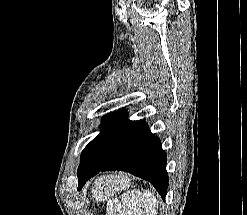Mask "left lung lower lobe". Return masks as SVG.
Segmentation results:
<instances>
[{
    "instance_id": "1",
    "label": "left lung lower lobe",
    "mask_w": 247,
    "mask_h": 215,
    "mask_svg": "<svg viewBox=\"0 0 247 215\" xmlns=\"http://www.w3.org/2000/svg\"><path fill=\"white\" fill-rule=\"evenodd\" d=\"M166 153L160 139L143 121H130L124 113L92 140L81 155L78 190L101 171L121 170L148 180L165 200L168 187Z\"/></svg>"
}]
</instances>
